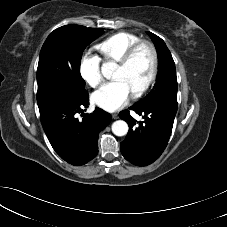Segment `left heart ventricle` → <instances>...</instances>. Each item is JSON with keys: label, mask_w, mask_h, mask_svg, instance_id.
Segmentation results:
<instances>
[{"label": "left heart ventricle", "mask_w": 227, "mask_h": 227, "mask_svg": "<svg viewBox=\"0 0 227 227\" xmlns=\"http://www.w3.org/2000/svg\"><path fill=\"white\" fill-rule=\"evenodd\" d=\"M150 71L151 54L146 47H142L127 67H116L112 78L121 80L132 94L144 84Z\"/></svg>", "instance_id": "obj_1"}]
</instances>
